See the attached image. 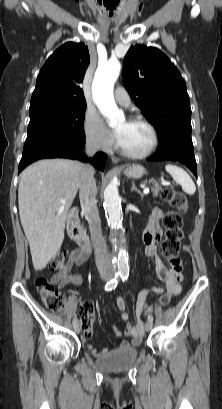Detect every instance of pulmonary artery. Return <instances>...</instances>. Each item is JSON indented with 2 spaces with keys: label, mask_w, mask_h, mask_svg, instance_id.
Here are the masks:
<instances>
[{
  "label": "pulmonary artery",
  "mask_w": 222,
  "mask_h": 409,
  "mask_svg": "<svg viewBox=\"0 0 222 409\" xmlns=\"http://www.w3.org/2000/svg\"><path fill=\"white\" fill-rule=\"evenodd\" d=\"M114 97L116 102L124 107H128L130 105V96L128 92L123 87H117L114 91Z\"/></svg>",
  "instance_id": "pulmonary-artery-1"
}]
</instances>
